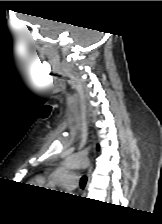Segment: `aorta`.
<instances>
[{
  "label": "aorta",
  "mask_w": 162,
  "mask_h": 224,
  "mask_svg": "<svg viewBox=\"0 0 162 224\" xmlns=\"http://www.w3.org/2000/svg\"><path fill=\"white\" fill-rule=\"evenodd\" d=\"M63 166L67 169L87 168L89 159L82 154H73L64 160Z\"/></svg>",
  "instance_id": "762f6f07"
}]
</instances>
